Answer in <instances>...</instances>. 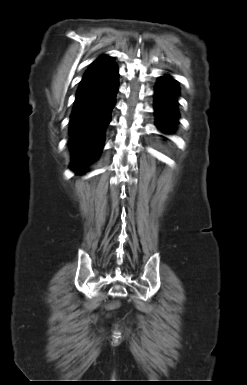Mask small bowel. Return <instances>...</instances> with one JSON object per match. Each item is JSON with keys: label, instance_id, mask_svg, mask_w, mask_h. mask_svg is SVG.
Returning <instances> with one entry per match:
<instances>
[{"label": "small bowel", "instance_id": "1", "mask_svg": "<svg viewBox=\"0 0 247 385\" xmlns=\"http://www.w3.org/2000/svg\"><path fill=\"white\" fill-rule=\"evenodd\" d=\"M119 305V302L118 301H112V302H108L106 305H105V308L107 310H112V309H115L117 308Z\"/></svg>", "mask_w": 247, "mask_h": 385}]
</instances>
